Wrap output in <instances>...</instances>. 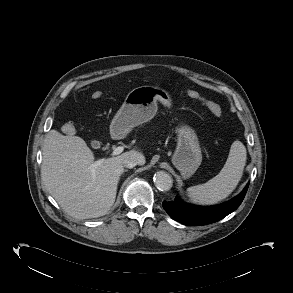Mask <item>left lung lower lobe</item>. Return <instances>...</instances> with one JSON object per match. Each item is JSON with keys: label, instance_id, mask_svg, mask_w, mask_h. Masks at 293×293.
Here are the masks:
<instances>
[{"label": "left lung lower lobe", "instance_id": "0a47b994", "mask_svg": "<svg viewBox=\"0 0 293 293\" xmlns=\"http://www.w3.org/2000/svg\"><path fill=\"white\" fill-rule=\"evenodd\" d=\"M248 186L249 184L232 200L217 206H194L185 204L178 199L176 201H164L162 205L170 217L178 222L189 226L206 225L219 221L236 210L242 203Z\"/></svg>", "mask_w": 293, "mask_h": 293}]
</instances>
